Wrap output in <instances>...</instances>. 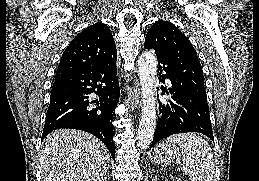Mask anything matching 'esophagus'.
<instances>
[{
	"instance_id": "1",
	"label": "esophagus",
	"mask_w": 259,
	"mask_h": 181,
	"mask_svg": "<svg viewBox=\"0 0 259 181\" xmlns=\"http://www.w3.org/2000/svg\"><path fill=\"white\" fill-rule=\"evenodd\" d=\"M133 96H134V105L136 108L139 109V107H140V88H139L138 82H135Z\"/></svg>"
}]
</instances>
